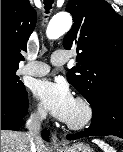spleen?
<instances>
[{
	"label": "spleen",
	"mask_w": 123,
	"mask_h": 152,
	"mask_svg": "<svg viewBox=\"0 0 123 152\" xmlns=\"http://www.w3.org/2000/svg\"><path fill=\"white\" fill-rule=\"evenodd\" d=\"M94 142L104 151V152H115V150L110 147L107 143L101 140H94Z\"/></svg>",
	"instance_id": "obj_1"
}]
</instances>
